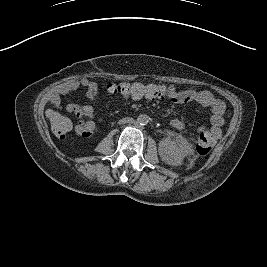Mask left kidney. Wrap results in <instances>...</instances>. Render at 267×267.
I'll use <instances>...</instances> for the list:
<instances>
[{
  "mask_svg": "<svg viewBox=\"0 0 267 267\" xmlns=\"http://www.w3.org/2000/svg\"><path fill=\"white\" fill-rule=\"evenodd\" d=\"M159 156L161 160L170 166H180L184 159L183 152L173 141L165 138L159 142Z\"/></svg>",
  "mask_w": 267,
  "mask_h": 267,
  "instance_id": "1",
  "label": "left kidney"
}]
</instances>
